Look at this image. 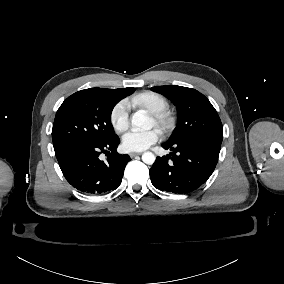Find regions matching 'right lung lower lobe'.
<instances>
[{
    "label": "right lung lower lobe",
    "mask_w": 284,
    "mask_h": 284,
    "mask_svg": "<svg viewBox=\"0 0 284 284\" xmlns=\"http://www.w3.org/2000/svg\"><path fill=\"white\" fill-rule=\"evenodd\" d=\"M119 143L117 135L105 142L72 143L55 150V155L73 187L86 194H105L119 187L131 160L127 154L117 153ZM101 153L108 156L105 162L99 159Z\"/></svg>",
    "instance_id": "right-lung-lower-lobe-1"
}]
</instances>
